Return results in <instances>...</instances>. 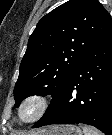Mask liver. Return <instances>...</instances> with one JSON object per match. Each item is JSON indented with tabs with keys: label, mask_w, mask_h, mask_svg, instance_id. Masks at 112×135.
<instances>
[{
	"label": "liver",
	"mask_w": 112,
	"mask_h": 135,
	"mask_svg": "<svg viewBox=\"0 0 112 135\" xmlns=\"http://www.w3.org/2000/svg\"><path fill=\"white\" fill-rule=\"evenodd\" d=\"M40 134H43L44 130L38 131Z\"/></svg>",
	"instance_id": "obj_1"
}]
</instances>
